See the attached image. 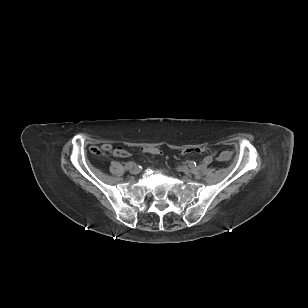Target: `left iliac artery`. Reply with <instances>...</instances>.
Instances as JSON below:
<instances>
[{"label":"left iliac artery","mask_w":308,"mask_h":308,"mask_svg":"<svg viewBox=\"0 0 308 308\" xmlns=\"http://www.w3.org/2000/svg\"><path fill=\"white\" fill-rule=\"evenodd\" d=\"M211 160H212V157L211 156H208L207 158H204L203 161L201 162V165L203 167H206L207 165H210L211 164ZM196 166V164H195Z\"/></svg>","instance_id":"left-iliac-artery-1"}]
</instances>
